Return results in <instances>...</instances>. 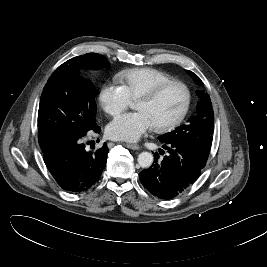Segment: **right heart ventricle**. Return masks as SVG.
<instances>
[{"mask_svg": "<svg viewBox=\"0 0 267 267\" xmlns=\"http://www.w3.org/2000/svg\"><path fill=\"white\" fill-rule=\"evenodd\" d=\"M118 80L130 100H136L142 94L173 78L161 70L145 67L122 71Z\"/></svg>", "mask_w": 267, "mask_h": 267, "instance_id": "1", "label": "right heart ventricle"}]
</instances>
